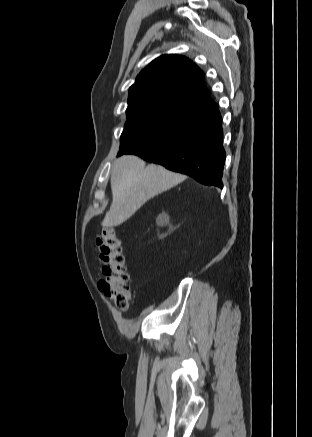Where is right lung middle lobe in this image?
I'll list each match as a JSON object with an SVG mask.
<instances>
[{"label":"right lung middle lobe","mask_w":312,"mask_h":437,"mask_svg":"<svg viewBox=\"0 0 312 437\" xmlns=\"http://www.w3.org/2000/svg\"><path fill=\"white\" fill-rule=\"evenodd\" d=\"M126 112L127 122L121 134L118 156L174 136L199 115L165 104L128 107Z\"/></svg>","instance_id":"right-lung-middle-lobe-1"}]
</instances>
